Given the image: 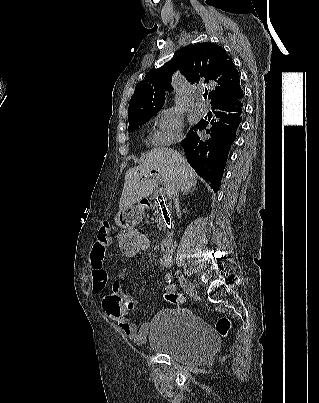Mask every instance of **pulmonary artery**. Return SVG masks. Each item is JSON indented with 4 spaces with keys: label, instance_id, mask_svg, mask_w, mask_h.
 Segmentation results:
<instances>
[{
    "label": "pulmonary artery",
    "instance_id": "e3ab8cb5",
    "mask_svg": "<svg viewBox=\"0 0 319 403\" xmlns=\"http://www.w3.org/2000/svg\"><path fill=\"white\" fill-rule=\"evenodd\" d=\"M192 107L199 114H205L208 111V106L203 100H197Z\"/></svg>",
    "mask_w": 319,
    "mask_h": 403
}]
</instances>
